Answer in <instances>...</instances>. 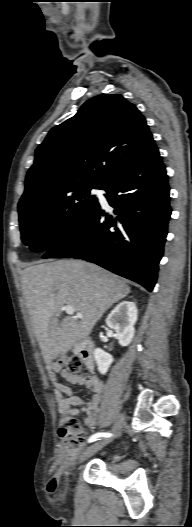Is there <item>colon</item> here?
<instances>
[{"mask_svg":"<svg viewBox=\"0 0 192 527\" xmlns=\"http://www.w3.org/2000/svg\"><path fill=\"white\" fill-rule=\"evenodd\" d=\"M59 362L69 374L84 378L83 362L78 356H64ZM58 433L63 443L64 451L67 454L77 455L82 451L87 431L81 426L76 418L65 414Z\"/></svg>","mask_w":192,"mask_h":527,"instance_id":"5ec220e1","label":"colon"}]
</instances>
